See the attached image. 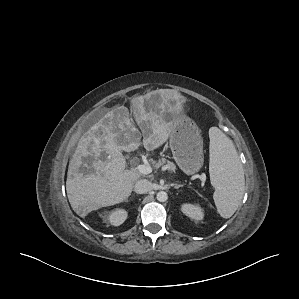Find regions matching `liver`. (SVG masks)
<instances>
[{
    "instance_id": "1",
    "label": "liver",
    "mask_w": 299,
    "mask_h": 299,
    "mask_svg": "<svg viewBox=\"0 0 299 299\" xmlns=\"http://www.w3.org/2000/svg\"><path fill=\"white\" fill-rule=\"evenodd\" d=\"M135 119L143 133V145L152 151L167 141L172 122L151 101L135 103ZM141 133L125 106L108 111L80 138L69 162L66 191L73 211L84 218L91 211L125 201L140 174L125 170L122 151H135Z\"/></svg>"
}]
</instances>
